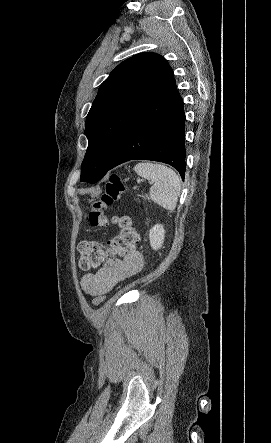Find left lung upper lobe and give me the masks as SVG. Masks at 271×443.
<instances>
[{
    "label": "left lung upper lobe",
    "instance_id": "obj_1",
    "mask_svg": "<svg viewBox=\"0 0 271 443\" xmlns=\"http://www.w3.org/2000/svg\"><path fill=\"white\" fill-rule=\"evenodd\" d=\"M168 62L159 54H137L119 64L101 84L86 118L88 148L80 181L95 183L109 170L120 140Z\"/></svg>",
    "mask_w": 271,
    "mask_h": 443
}]
</instances>
